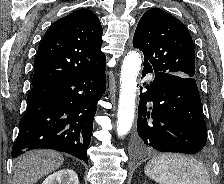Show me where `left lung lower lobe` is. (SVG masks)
<instances>
[{
    "mask_svg": "<svg viewBox=\"0 0 224 184\" xmlns=\"http://www.w3.org/2000/svg\"><path fill=\"white\" fill-rule=\"evenodd\" d=\"M152 72L143 68L142 76ZM144 85L147 91L140 94L137 120L139 145L162 152L204 151L207 132L195 79L155 72L154 81Z\"/></svg>",
    "mask_w": 224,
    "mask_h": 184,
    "instance_id": "0a47b994",
    "label": "left lung lower lobe"
}]
</instances>
